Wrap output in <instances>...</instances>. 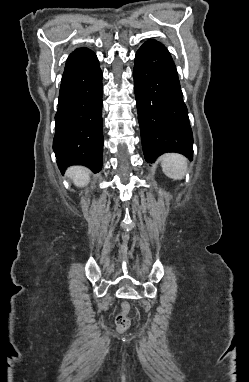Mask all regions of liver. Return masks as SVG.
I'll list each match as a JSON object with an SVG mask.
<instances>
[{"instance_id": "6515ba94", "label": "liver", "mask_w": 249, "mask_h": 382, "mask_svg": "<svg viewBox=\"0 0 249 382\" xmlns=\"http://www.w3.org/2000/svg\"><path fill=\"white\" fill-rule=\"evenodd\" d=\"M67 176L78 187H84L89 182V171L85 167L74 166L67 170Z\"/></svg>"}]
</instances>
